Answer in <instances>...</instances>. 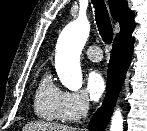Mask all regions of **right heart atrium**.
<instances>
[{"label":"right heart atrium","mask_w":147,"mask_h":131,"mask_svg":"<svg viewBox=\"0 0 147 131\" xmlns=\"http://www.w3.org/2000/svg\"><path fill=\"white\" fill-rule=\"evenodd\" d=\"M89 109V98L84 91H63L59 103V116L64 122H75Z\"/></svg>","instance_id":"1"}]
</instances>
